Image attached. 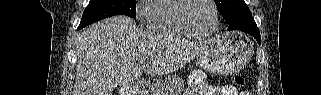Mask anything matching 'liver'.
Masks as SVG:
<instances>
[{
    "label": "liver",
    "mask_w": 321,
    "mask_h": 95,
    "mask_svg": "<svg viewBox=\"0 0 321 95\" xmlns=\"http://www.w3.org/2000/svg\"><path fill=\"white\" fill-rule=\"evenodd\" d=\"M75 45L77 75L72 95H112L116 85L138 80L142 70L155 76L184 67L206 42L146 33L131 18L115 16L79 32Z\"/></svg>",
    "instance_id": "obj_1"
}]
</instances>
